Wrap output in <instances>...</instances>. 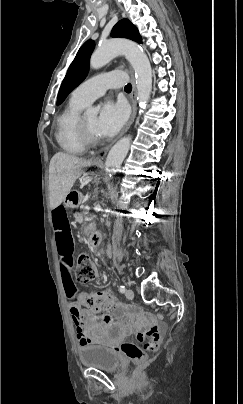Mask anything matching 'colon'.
<instances>
[{
	"label": "colon",
	"mask_w": 243,
	"mask_h": 404,
	"mask_svg": "<svg viewBox=\"0 0 243 404\" xmlns=\"http://www.w3.org/2000/svg\"><path fill=\"white\" fill-rule=\"evenodd\" d=\"M77 280L89 282L96 276V269L86 254H82L77 260ZM78 302L89 312L96 315L130 314L137 315L139 310L134 307L118 305L114 296L108 291L84 293L79 295ZM137 339L141 346L135 343L122 345L123 352L132 360H140L144 353L158 348L161 341V333L158 326H152L140 332Z\"/></svg>",
	"instance_id": "1"
}]
</instances>
